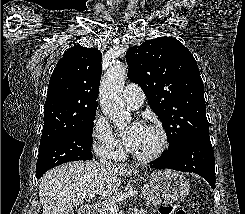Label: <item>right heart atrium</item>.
Segmentation results:
<instances>
[{
	"mask_svg": "<svg viewBox=\"0 0 245 214\" xmlns=\"http://www.w3.org/2000/svg\"><path fill=\"white\" fill-rule=\"evenodd\" d=\"M93 148L102 158H115L119 153L120 144L115 138L110 124L97 115L92 124Z\"/></svg>",
	"mask_w": 245,
	"mask_h": 214,
	"instance_id": "obj_1",
	"label": "right heart atrium"
}]
</instances>
